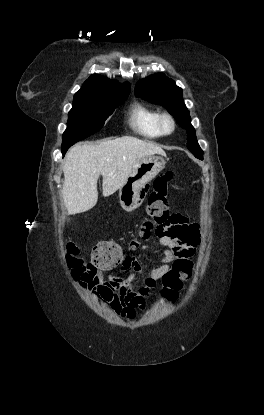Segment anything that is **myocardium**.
Here are the masks:
<instances>
[{
	"mask_svg": "<svg viewBox=\"0 0 264 415\" xmlns=\"http://www.w3.org/2000/svg\"><path fill=\"white\" fill-rule=\"evenodd\" d=\"M166 123L169 124V128L166 127ZM157 125L162 135H169L173 133L176 128L175 119L168 112H162L159 114Z\"/></svg>",
	"mask_w": 264,
	"mask_h": 415,
	"instance_id": "f54148a6",
	"label": "myocardium"
}]
</instances>
